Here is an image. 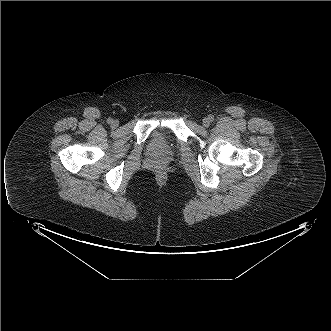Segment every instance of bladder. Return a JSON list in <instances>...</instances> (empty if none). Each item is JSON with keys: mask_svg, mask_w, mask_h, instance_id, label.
<instances>
[{"mask_svg": "<svg viewBox=\"0 0 331 331\" xmlns=\"http://www.w3.org/2000/svg\"><path fill=\"white\" fill-rule=\"evenodd\" d=\"M176 147V137L173 134L163 130L153 131L148 141V150L154 155L172 152L176 149Z\"/></svg>", "mask_w": 331, "mask_h": 331, "instance_id": "bladder-1", "label": "bladder"}]
</instances>
